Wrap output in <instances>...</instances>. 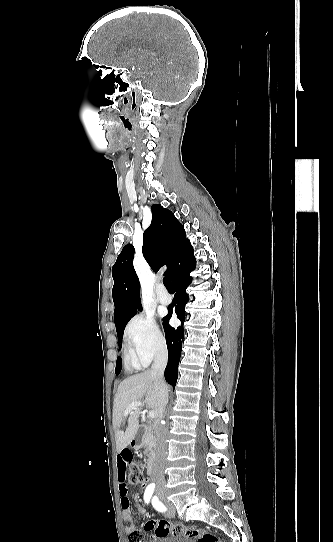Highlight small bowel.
I'll return each instance as SVG.
<instances>
[{
    "instance_id": "small-bowel-1",
    "label": "small bowel",
    "mask_w": 333,
    "mask_h": 542,
    "mask_svg": "<svg viewBox=\"0 0 333 542\" xmlns=\"http://www.w3.org/2000/svg\"><path fill=\"white\" fill-rule=\"evenodd\" d=\"M132 460L131 455V448L125 447L121 450L120 454L118 455L117 459V487H118V494L120 498V508L122 511V517L125 521L128 522V525L125 528V531L127 534H130L132 531L135 530V524L133 522L132 518V510H131V503L128 498V487L126 485V470L128 463ZM150 478L148 476H145L143 480H141L140 488L142 490H145L147 488V484L149 483ZM134 501L137 504V511L138 513L142 514L144 513V509L141 506L142 497L139 493H136L134 495Z\"/></svg>"
}]
</instances>
